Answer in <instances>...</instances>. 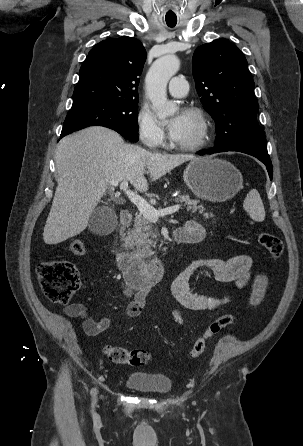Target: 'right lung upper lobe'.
<instances>
[{
    "label": "right lung upper lobe",
    "mask_w": 303,
    "mask_h": 446,
    "mask_svg": "<svg viewBox=\"0 0 303 446\" xmlns=\"http://www.w3.org/2000/svg\"><path fill=\"white\" fill-rule=\"evenodd\" d=\"M145 59L142 43L133 37L108 38L96 44L80 68L72 108L108 101H138V77Z\"/></svg>",
    "instance_id": "cb5924a9"
}]
</instances>
